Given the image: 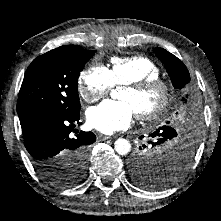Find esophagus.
I'll list each match as a JSON object with an SVG mask.
<instances>
[{
  "label": "esophagus",
  "mask_w": 221,
  "mask_h": 221,
  "mask_svg": "<svg viewBox=\"0 0 221 221\" xmlns=\"http://www.w3.org/2000/svg\"><path fill=\"white\" fill-rule=\"evenodd\" d=\"M98 138H99L100 140H102V141H105V140L110 139L111 137H110V136H106V135L100 134V135H98Z\"/></svg>",
  "instance_id": "obj_1"
}]
</instances>
